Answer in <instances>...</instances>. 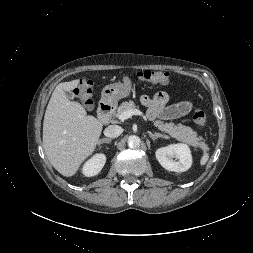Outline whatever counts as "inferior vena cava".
Segmentation results:
<instances>
[{
	"label": "inferior vena cava",
	"instance_id": "inferior-vena-cava-1",
	"mask_svg": "<svg viewBox=\"0 0 253 253\" xmlns=\"http://www.w3.org/2000/svg\"><path fill=\"white\" fill-rule=\"evenodd\" d=\"M123 132L122 127L118 125H110L104 130V135L109 138H116Z\"/></svg>",
	"mask_w": 253,
	"mask_h": 253
}]
</instances>
